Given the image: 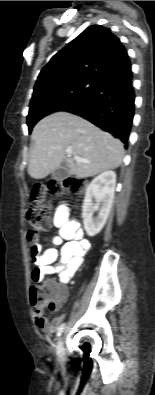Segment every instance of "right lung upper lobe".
Returning a JSON list of instances; mask_svg holds the SVG:
<instances>
[{"mask_svg":"<svg viewBox=\"0 0 155 395\" xmlns=\"http://www.w3.org/2000/svg\"><path fill=\"white\" fill-rule=\"evenodd\" d=\"M131 67L126 48L110 29L93 25L59 51L41 70L34 93L56 84L89 79Z\"/></svg>","mask_w":155,"mask_h":395,"instance_id":"1","label":"right lung upper lobe"}]
</instances>
